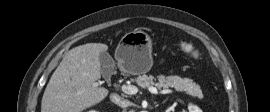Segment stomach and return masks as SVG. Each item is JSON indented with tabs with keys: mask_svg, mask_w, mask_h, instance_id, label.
Returning a JSON list of instances; mask_svg holds the SVG:
<instances>
[{
	"mask_svg": "<svg viewBox=\"0 0 270 112\" xmlns=\"http://www.w3.org/2000/svg\"><path fill=\"white\" fill-rule=\"evenodd\" d=\"M152 42L143 31L126 33L120 40L115 58L119 68L129 74L139 75L152 67Z\"/></svg>",
	"mask_w": 270,
	"mask_h": 112,
	"instance_id": "stomach-1",
	"label": "stomach"
}]
</instances>
